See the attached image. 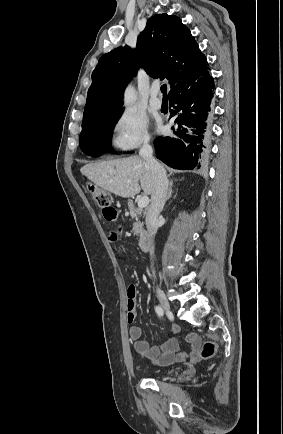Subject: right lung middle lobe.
I'll list each match as a JSON object with an SVG mask.
<instances>
[{"mask_svg": "<svg viewBox=\"0 0 283 434\" xmlns=\"http://www.w3.org/2000/svg\"><path fill=\"white\" fill-rule=\"evenodd\" d=\"M122 112L106 117L105 119L82 128L79 144L81 150L88 156H99L110 152L112 131Z\"/></svg>", "mask_w": 283, "mask_h": 434, "instance_id": "right-lung-middle-lobe-1", "label": "right lung middle lobe"}]
</instances>
